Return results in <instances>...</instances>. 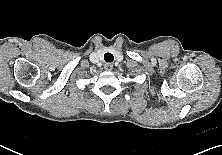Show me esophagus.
<instances>
[{
    "mask_svg": "<svg viewBox=\"0 0 222 155\" xmlns=\"http://www.w3.org/2000/svg\"><path fill=\"white\" fill-rule=\"evenodd\" d=\"M104 69H105L106 71H111V70L113 69V65H112L111 63H106V64L104 65Z\"/></svg>",
    "mask_w": 222,
    "mask_h": 155,
    "instance_id": "obj_1",
    "label": "esophagus"
}]
</instances>
